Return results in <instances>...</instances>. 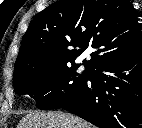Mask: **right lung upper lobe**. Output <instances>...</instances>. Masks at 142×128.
I'll return each instance as SVG.
<instances>
[{
	"mask_svg": "<svg viewBox=\"0 0 142 128\" xmlns=\"http://www.w3.org/2000/svg\"><path fill=\"white\" fill-rule=\"evenodd\" d=\"M88 48L94 49L91 60H84L90 69L142 48L138 15L129 0H59L51 4L31 21L14 75L40 63L74 64Z\"/></svg>",
	"mask_w": 142,
	"mask_h": 128,
	"instance_id": "obj_1",
	"label": "right lung upper lobe"
}]
</instances>
